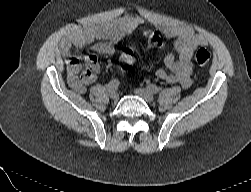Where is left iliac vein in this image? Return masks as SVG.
Instances as JSON below:
<instances>
[{
	"mask_svg": "<svg viewBox=\"0 0 251 192\" xmlns=\"http://www.w3.org/2000/svg\"><path fill=\"white\" fill-rule=\"evenodd\" d=\"M134 92L148 103L154 100L153 94L148 89L137 88Z\"/></svg>",
	"mask_w": 251,
	"mask_h": 192,
	"instance_id": "4c4485c4",
	"label": "left iliac vein"
}]
</instances>
